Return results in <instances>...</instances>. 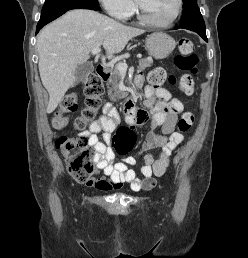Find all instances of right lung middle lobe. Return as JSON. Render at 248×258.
<instances>
[{"label": "right lung middle lobe", "mask_w": 248, "mask_h": 258, "mask_svg": "<svg viewBox=\"0 0 248 258\" xmlns=\"http://www.w3.org/2000/svg\"><path fill=\"white\" fill-rule=\"evenodd\" d=\"M81 3L99 5L98 0H46L42 8L41 17Z\"/></svg>", "instance_id": "dd1d6c3e"}]
</instances>
